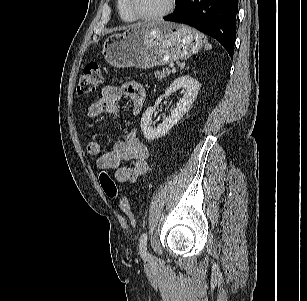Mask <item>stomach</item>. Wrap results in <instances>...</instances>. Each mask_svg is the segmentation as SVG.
Listing matches in <instances>:
<instances>
[{"mask_svg":"<svg viewBox=\"0 0 307 301\" xmlns=\"http://www.w3.org/2000/svg\"><path fill=\"white\" fill-rule=\"evenodd\" d=\"M205 42L192 27L172 22L135 25L108 37L103 45L105 60L115 68L142 69L183 60L197 53Z\"/></svg>","mask_w":307,"mask_h":301,"instance_id":"1","label":"stomach"}]
</instances>
